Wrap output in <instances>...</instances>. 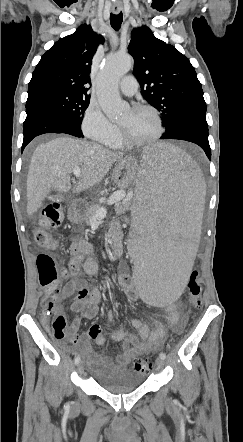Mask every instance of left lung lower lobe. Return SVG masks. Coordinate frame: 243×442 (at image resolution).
<instances>
[{"instance_id":"0a47b994","label":"left lung lower lobe","mask_w":243,"mask_h":442,"mask_svg":"<svg viewBox=\"0 0 243 442\" xmlns=\"http://www.w3.org/2000/svg\"><path fill=\"white\" fill-rule=\"evenodd\" d=\"M206 104H194L182 109L166 127L161 139H178L199 145L211 159L208 142Z\"/></svg>"}]
</instances>
